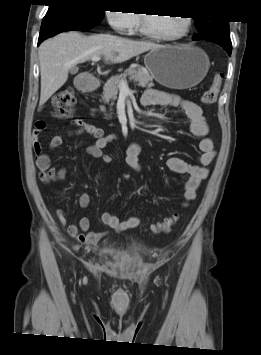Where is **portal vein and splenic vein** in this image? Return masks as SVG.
<instances>
[{
  "label": "portal vein and splenic vein",
  "mask_w": 261,
  "mask_h": 355,
  "mask_svg": "<svg viewBox=\"0 0 261 355\" xmlns=\"http://www.w3.org/2000/svg\"><path fill=\"white\" fill-rule=\"evenodd\" d=\"M100 59H101V56H94V57L91 58V60L93 62H97ZM118 86H119L120 91H128L129 90V87H128V84H127L126 81H120Z\"/></svg>",
  "instance_id": "portal-vein-and-splenic-vein-1"
}]
</instances>
